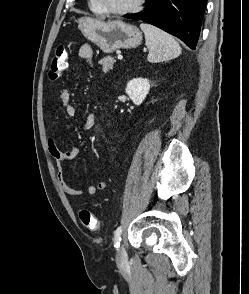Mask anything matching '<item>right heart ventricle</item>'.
Returning a JSON list of instances; mask_svg holds the SVG:
<instances>
[{
  "mask_svg": "<svg viewBox=\"0 0 249 294\" xmlns=\"http://www.w3.org/2000/svg\"><path fill=\"white\" fill-rule=\"evenodd\" d=\"M89 8L92 12L96 13V14H103V11L101 10V8L98 6V4L96 3L95 0H89Z\"/></svg>",
  "mask_w": 249,
  "mask_h": 294,
  "instance_id": "e07e8e85",
  "label": "right heart ventricle"
}]
</instances>
